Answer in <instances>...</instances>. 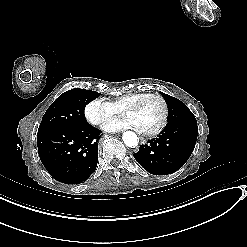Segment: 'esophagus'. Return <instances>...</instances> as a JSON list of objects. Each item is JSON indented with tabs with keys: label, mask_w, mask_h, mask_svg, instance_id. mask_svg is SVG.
I'll return each instance as SVG.
<instances>
[{
	"label": "esophagus",
	"mask_w": 247,
	"mask_h": 247,
	"mask_svg": "<svg viewBox=\"0 0 247 247\" xmlns=\"http://www.w3.org/2000/svg\"><path fill=\"white\" fill-rule=\"evenodd\" d=\"M139 139H140V143L141 144H146V139L145 138L140 136Z\"/></svg>",
	"instance_id": "obj_1"
}]
</instances>
